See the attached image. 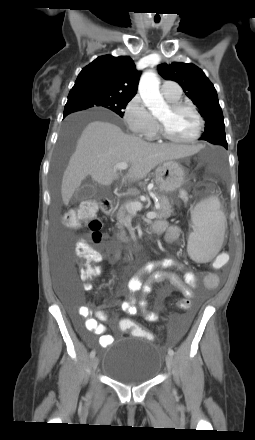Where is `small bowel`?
I'll return each mask as SVG.
<instances>
[{
    "instance_id": "small-bowel-1",
    "label": "small bowel",
    "mask_w": 255,
    "mask_h": 440,
    "mask_svg": "<svg viewBox=\"0 0 255 440\" xmlns=\"http://www.w3.org/2000/svg\"><path fill=\"white\" fill-rule=\"evenodd\" d=\"M155 226L160 230H166L165 239L167 243H173L182 236L180 226L172 225L168 227L166 221L163 220L156 222ZM218 257H222V255H219ZM119 258L120 255L118 252H116L114 254V259L118 260ZM169 267H174L179 270L183 268V266L174 259L153 261L144 265L138 274L129 280V296L126 300L121 302V309L129 315H134L140 312L149 322L157 321L158 314L154 311H150L148 309L147 302L144 299L137 298L135 294L137 292L148 294L151 292L153 284L164 282H168L171 286L178 289L183 294L184 298H189L190 300L194 299V289L197 287L199 281L197 275L192 271H186L181 278L178 274L165 270V268ZM145 275H148L146 282L142 280V277ZM206 277L204 279L205 287L207 289L216 288L218 285V277L213 275L208 282H206ZM86 288L89 289L90 286L86 285ZM164 292L166 293L167 291ZM77 317L83 318L84 322L81 324L77 320ZM105 320H107V316L102 310L92 309L88 306L79 307L77 310V316H75V323L78 330L81 332L87 331L98 335L99 344L104 348L110 346L114 341L112 335L106 334L107 329L103 324V321ZM86 339L90 341L89 338Z\"/></svg>"
}]
</instances>
